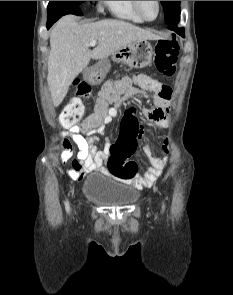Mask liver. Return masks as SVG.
Returning a JSON list of instances; mask_svg holds the SVG:
<instances>
[{"label": "liver", "mask_w": 233, "mask_h": 295, "mask_svg": "<svg viewBox=\"0 0 233 295\" xmlns=\"http://www.w3.org/2000/svg\"><path fill=\"white\" fill-rule=\"evenodd\" d=\"M140 39L157 40L159 37L122 20L79 24L74 15L63 16L50 33L47 82L54 106L61 104L70 84L91 59H104ZM92 40L98 45L90 50Z\"/></svg>", "instance_id": "liver-1"}]
</instances>
